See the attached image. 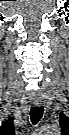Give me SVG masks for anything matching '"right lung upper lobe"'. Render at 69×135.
Returning a JSON list of instances; mask_svg holds the SVG:
<instances>
[{
    "label": "right lung upper lobe",
    "instance_id": "1",
    "mask_svg": "<svg viewBox=\"0 0 69 135\" xmlns=\"http://www.w3.org/2000/svg\"><path fill=\"white\" fill-rule=\"evenodd\" d=\"M2 126L3 128H8L13 131L14 125H13L12 118H9L7 121H5Z\"/></svg>",
    "mask_w": 69,
    "mask_h": 135
}]
</instances>
